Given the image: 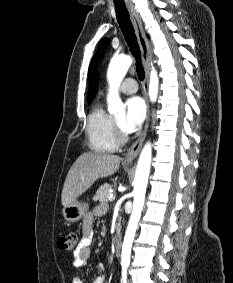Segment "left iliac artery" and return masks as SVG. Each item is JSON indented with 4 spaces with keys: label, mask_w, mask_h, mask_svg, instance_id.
Returning a JSON list of instances; mask_svg holds the SVG:
<instances>
[{
    "label": "left iliac artery",
    "mask_w": 233,
    "mask_h": 283,
    "mask_svg": "<svg viewBox=\"0 0 233 283\" xmlns=\"http://www.w3.org/2000/svg\"><path fill=\"white\" fill-rule=\"evenodd\" d=\"M122 283H127V267L122 268Z\"/></svg>",
    "instance_id": "1"
}]
</instances>
